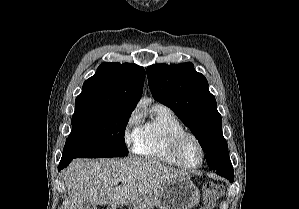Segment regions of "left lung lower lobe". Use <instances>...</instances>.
<instances>
[{
  "label": "left lung lower lobe",
  "instance_id": "obj_1",
  "mask_svg": "<svg viewBox=\"0 0 299 209\" xmlns=\"http://www.w3.org/2000/svg\"><path fill=\"white\" fill-rule=\"evenodd\" d=\"M216 174L228 179L230 182L234 181V172L231 162L223 167L218 168Z\"/></svg>",
  "mask_w": 299,
  "mask_h": 209
}]
</instances>
